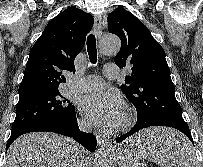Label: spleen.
<instances>
[{
  "instance_id": "obj_1",
  "label": "spleen",
  "mask_w": 203,
  "mask_h": 167,
  "mask_svg": "<svg viewBox=\"0 0 203 167\" xmlns=\"http://www.w3.org/2000/svg\"><path fill=\"white\" fill-rule=\"evenodd\" d=\"M152 146L137 148L138 154L161 167H197L191 145L182 135L161 132L151 137Z\"/></svg>"
}]
</instances>
